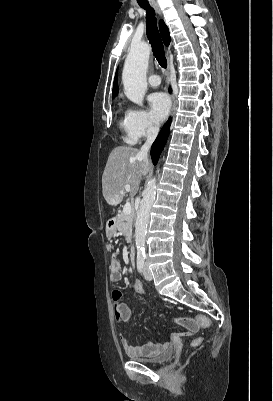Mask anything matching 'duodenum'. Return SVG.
Instances as JSON below:
<instances>
[{
	"label": "duodenum",
	"instance_id": "410a0bca",
	"mask_svg": "<svg viewBox=\"0 0 273 401\" xmlns=\"http://www.w3.org/2000/svg\"><path fill=\"white\" fill-rule=\"evenodd\" d=\"M114 223H115V219H111L109 221V228L110 229L113 228ZM128 257H129V260H130L131 263L135 262V248L133 246L130 247V249H129Z\"/></svg>",
	"mask_w": 273,
	"mask_h": 401
}]
</instances>
